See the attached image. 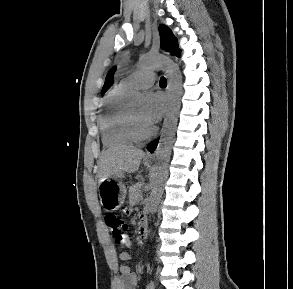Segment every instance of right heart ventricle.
I'll return each mask as SVG.
<instances>
[{
	"mask_svg": "<svg viewBox=\"0 0 293 289\" xmlns=\"http://www.w3.org/2000/svg\"><path fill=\"white\" fill-rule=\"evenodd\" d=\"M127 92L128 89L120 84L112 88L104 97L100 129L106 147H119L132 142L127 124L128 108L125 104Z\"/></svg>",
	"mask_w": 293,
	"mask_h": 289,
	"instance_id": "obj_1",
	"label": "right heart ventricle"
}]
</instances>
